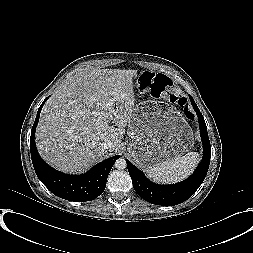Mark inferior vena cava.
<instances>
[{
	"instance_id": "1",
	"label": "inferior vena cava",
	"mask_w": 253,
	"mask_h": 253,
	"mask_svg": "<svg viewBox=\"0 0 253 253\" xmlns=\"http://www.w3.org/2000/svg\"><path fill=\"white\" fill-rule=\"evenodd\" d=\"M111 144H112L111 141H106L102 144V146H103L104 149H107L111 146Z\"/></svg>"
}]
</instances>
